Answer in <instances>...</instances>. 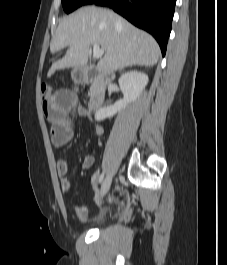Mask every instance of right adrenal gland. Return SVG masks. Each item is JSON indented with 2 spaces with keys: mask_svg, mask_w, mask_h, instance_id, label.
I'll use <instances>...</instances> for the list:
<instances>
[{
  "mask_svg": "<svg viewBox=\"0 0 227 265\" xmlns=\"http://www.w3.org/2000/svg\"><path fill=\"white\" fill-rule=\"evenodd\" d=\"M124 68H121L119 71L121 72Z\"/></svg>",
  "mask_w": 227,
  "mask_h": 265,
  "instance_id": "2a0ac1e0",
  "label": "right adrenal gland"
}]
</instances>
